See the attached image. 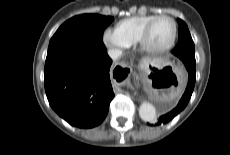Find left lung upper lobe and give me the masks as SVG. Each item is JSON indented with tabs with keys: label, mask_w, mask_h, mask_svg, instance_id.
<instances>
[{
	"label": "left lung upper lobe",
	"mask_w": 230,
	"mask_h": 155,
	"mask_svg": "<svg viewBox=\"0 0 230 155\" xmlns=\"http://www.w3.org/2000/svg\"><path fill=\"white\" fill-rule=\"evenodd\" d=\"M179 22V39L178 44L175 49L172 51L174 55L179 57L182 61L184 58L188 57L190 60L195 62V49L194 43L191 38L190 32L188 27L184 21L178 19Z\"/></svg>",
	"instance_id": "5c2ea615"
}]
</instances>
